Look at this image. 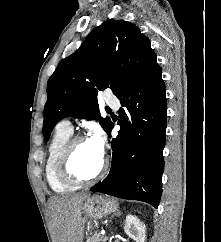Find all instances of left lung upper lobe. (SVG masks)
Returning a JSON list of instances; mask_svg holds the SVG:
<instances>
[{"instance_id":"1","label":"left lung upper lobe","mask_w":221,"mask_h":242,"mask_svg":"<svg viewBox=\"0 0 221 242\" xmlns=\"http://www.w3.org/2000/svg\"><path fill=\"white\" fill-rule=\"evenodd\" d=\"M157 65L149 39L133 23L107 20L96 27L75 53L58 64L48 80L45 141L56 123L70 115L99 119L107 132L112 123L100 118L98 90L110 88L118 97Z\"/></svg>"}]
</instances>
